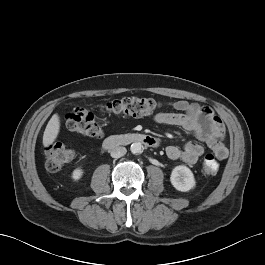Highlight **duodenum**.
Listing matches in <instances>:
<instances>
[{
	"label": "duodenum",
	"instance_id": "obj_1",
	"mask_svg": "<svg viewBox=\"0 0 265 265\" xmlns=\"http://www.w3.org/2000/svg\"><path fill=\"white\" fill-rule=\"evenodd\" d=\"M134 143H142L149 147H158L159 140L153 136L142 133H128L107 137L103 142V147L106 150H111L120 146H127Z\"/></svg>",
	"mask_w": 265,
	"mask_h": 265
}]
</instances>
